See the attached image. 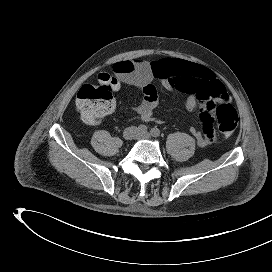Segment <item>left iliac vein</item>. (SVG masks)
I'll return each instance as SVG.
<instances>
[{
  "label": "left iliac vein",
  "mask_w": 272,
  "mask_h": 272,
  "mask_svg": "<svg viewBox=\"0 0 272 272\" xmlns=\"http://www.w3.org/2000/svg\"><path fill=\"white\" fill-rule=\"evenodd\" d=\"M139 138H145V139H149L150 138V134L149 133H138L137 135Z\"/></svg>",
  "instance_id": "left-iliac-vein-1"
}]
</instances>
